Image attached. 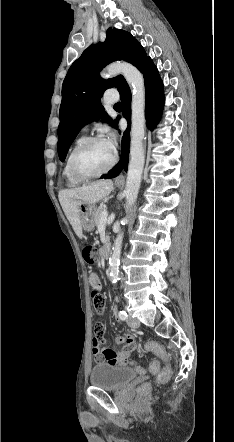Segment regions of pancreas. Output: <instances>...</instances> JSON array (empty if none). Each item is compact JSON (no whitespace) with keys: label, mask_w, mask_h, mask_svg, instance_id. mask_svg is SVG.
<instances>
[{"label":"pancreas","mask_w":234,"mask_h":442,"mask_svg":"<svg viewBox=\"0 0 234 442\" xmlns=\"http://www.w3.org/2000/svg\"><path fill=\"white\" fill-rule=\"evenodd\" d=\"M106 211L105 206H100L96 209L95 215H94V221L95 225L98 226L101 218V213ZM109 240V236H106V241Z\"/></svg>","instance_id":"cf45deb5"}]
</instances>
